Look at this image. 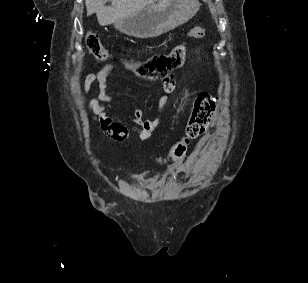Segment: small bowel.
I'll return each mask as SVG.
<instances>
[{
  "mask_svg": "<svg viewBox=\"0 0 308 283\" xmlns=\"http://www.w3.org/2000/svg\"><path fill=\"white\" fill-rule=\"evenodd\" d=\"M113 71L112 65H105L97 72L89 73L83 83L84 93H88L94 83L98 86L97 97L91 99L88 103L89 113L94 121L101 128V137L109 138L115 141L126 140L129 136V128L112 120L108 115V109L112 101V96L107 93L109 74ZM173 86L164 84L165 94L159 100V112H163L166 104V95L172 92ZM133 126L131 130L136 133L141 139H147L151 136L156 126L161 121V117L147 119L144 116L142 109H135L132 114ZM197 169V166L192 160H187L185 163L177 167L179 173H191Z\"/></svg>",
  "mask_w": 308,
  "mask_h": 283,
  "instance_id": "obj_1",
  "label": "small bowel"
}]
</instances>
